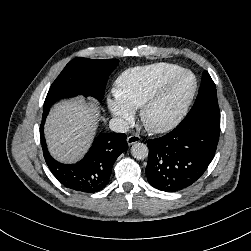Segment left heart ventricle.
<instances>
[{"instance_id": "left-heart-ventricle-1", "label": "left heart ventricle", "mask_w": 251, "mask_h": 251, "mask_svg": "<svg viewBox=\"0 0 251 251\" xmlns=\"http://www.w3.org/2000/svg\"><path fill=\"white\" fill-rule=\"evenodd\" d=\"M191 85L192 79L190 76L186 75L180 78L166 96L151 109L149 121L162 123L168 120L180 107Z\"/></svg>"}]
</instances>
